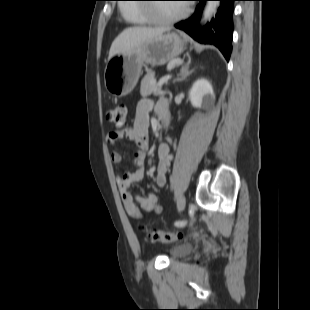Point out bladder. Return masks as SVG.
Here are the masks:
<instances>
[{"label": "bladder", "instance_id": "obj_1", "mask_svg": "<svg viewBox=\"0 0 310 310\" xmlns=\"http://www.w3.org/2000/svg\"><path fill=\"white\" fill-rule=\"evenodd\" d=\"M192 249V245L190 243H181L172 246L170 250V256L174 259L181 258L187 255Z\"/></svg>", "mask_w": 310, "mask_h": 310}]
</instances>
